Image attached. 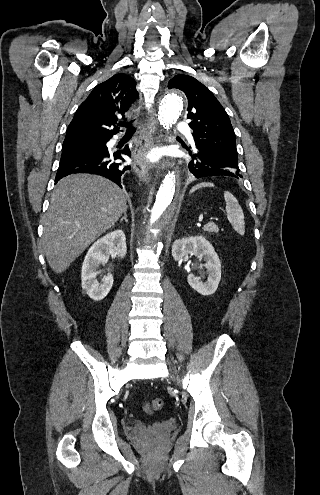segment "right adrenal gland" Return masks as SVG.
Instances as JSON below:
<instances>
[{
  "label": "right adrenal gland",
  "mask_w": 320,
  "mask_h": 495,
  "mask_svg": "<svg viewBox=\"0 0 320 495\" xmlns=\"http://www.w3.org/2000/svg\"><path fill=\"white\" fill-rule=\"evenodd\" d=\"M123 214H124V215H123V217L120 219V223H122V221H123V220H124L126 223H128V219H127V213H126V211H124V213H123Z\"/></svg>",
  "instance_id": "obj_1"
}]
</instances>
